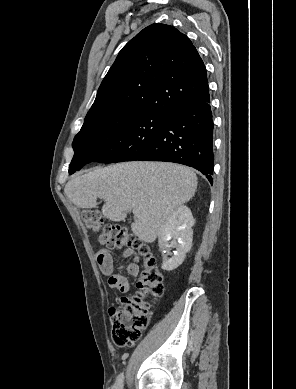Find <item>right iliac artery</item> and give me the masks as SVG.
Here are the masks:
<instances>
[{
  "label": "right iliac artery",
  "mask_w": 296,
  "mask_h": 389,
  "mask_svg": "<svg viewBox=\"0 0 296 389\" xmlns=\"http://www.w3.org/2000/svg\"><path fill=\"white\" fill-rule=\"evenodd\" d=\"M123 380H124V375H123V373H121L117 378V381L115 384V389H122L123 388Z\"/></svg>",
  "instance_id": "right-iliac-artery-1"
}]
</instances>
